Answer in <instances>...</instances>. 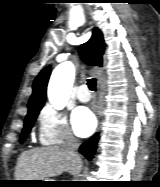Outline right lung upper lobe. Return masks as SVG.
<instances>
[{"instance_id":"cb5924a9","label":"right lung upper lobe","mask_w":160,"mask_h":187,"mask_svg":"<svg viewBox=\"0 0 160 187\" xmlns=\"http://www.w3.org/2000/svg\"><path fill=\"white\" fill-rule=\"evenodd\" d=\"M105 43L102 32L95 27L91 39L83 44L79 53L81 59L90 65H102ZM50 66L44 68L34 80L33 94L28 104V113L41 110L46 97V87L50 77Z\"/></svg>"}]
</instances>
